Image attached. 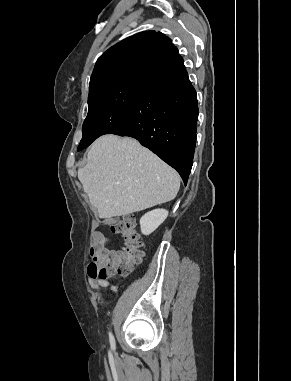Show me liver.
<instances>
[{"mask_svg":"<svg viewBox=\"0 0 291 381\" xmlns=\"http://www.w3.org/2000/svg\"><path fill=\"white\" fill-rule=\"evenodd\" d=\"M78 179L102 219L169 202L180 188L173 168L135 139L111 134L91 145Z\"/></svg>","mask_w":291,"mask_h":381,"instance_id":"6515ba94","label":"liver"}]
</instances>
